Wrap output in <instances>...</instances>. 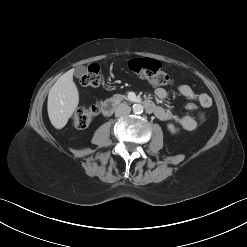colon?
Returning a JSON list of instances; mask_svg holds the SVG:
<instances>
[{
	"label": "colon",
	"mask_w": 247,
	"mask_h": 247,
	"mask_svg": "<svg viewBox=\"0 0 247 247\" xmlns=\"http://www.w3.org/2000/svg\"><path fill=\"white\" fill-rule=\"evenodd\" d=\"M130 71L137 77L148 80L155 86H169L172 84V78L161 66V63L152 58H135L130 60ZM81 83L87 87H97L101 83L100 68L97 64H90L87 71L81 78ZM187 110H196L197 105L189 102L186 104ZM98 106L91 105L79 108L73 116V124L76 128L83 129L87 127L94 117L98 114Z\"/></svg>",
	"instance_id": "obj_1"
}]
</instances>
